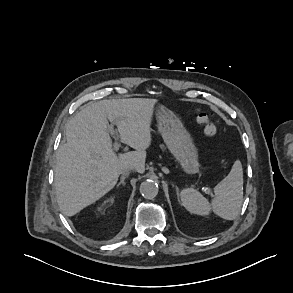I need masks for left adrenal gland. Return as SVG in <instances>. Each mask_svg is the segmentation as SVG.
I'll return each mask as SVG.
<instances>
[{
    "instance_id": "1",
    "label": "left adrenal gland",
    "mask_w": 293,
    "mask_h": 293,
    "mask_svg": "<svg viewBox=\"0 0 293 293\" xmlns=\"http://www.w3.org/2000/svg\"><path fill=\"white\" fill-rule=\"evenodd\" d=\"M176 188V192H177V198H178V201H179V188L177 186H175Z\"/></svg>"
}]
</instances>
